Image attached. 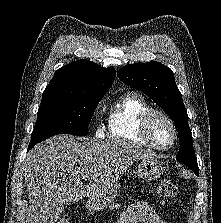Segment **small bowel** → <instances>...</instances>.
<instances>
[{
  "label": "small bowel",
  "mask_w": 221,
  "mask_h": 223,
  "mask_svg": "<svg viewBox=\"0 0 221 223\" xmlns=\"http://www.w3.org/2000/svg\"><path fill=\"white\" fill-rule=\"evenodd\" d=\"M118 223H167L149 204L136 202L125 209Z\"/></svg>",
  "instance_id": "1"
}]
</instances>
